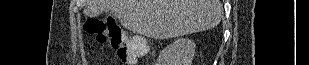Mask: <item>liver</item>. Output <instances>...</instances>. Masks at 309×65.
Returning <instances> with one entry per match:
<instances>
[{
    "instance_id": "6515ba94",
    "label": "liver",
    "mask_w": 309,
    "mask_h": 65,
    "mask_svg": "<svg viewBox=\"0 0 309 65\" xmlns=\"http://www.w3.org/2000/svg\"><path fill=\"white\" fill-rule=\"evenodd\" d=\"M115 15L126 29L154 39L178 37L216 27L220 0H85L84 14Z\"/></svg>"
}]
</instances>
